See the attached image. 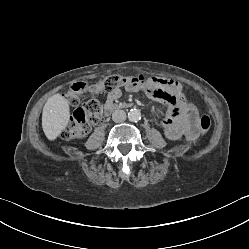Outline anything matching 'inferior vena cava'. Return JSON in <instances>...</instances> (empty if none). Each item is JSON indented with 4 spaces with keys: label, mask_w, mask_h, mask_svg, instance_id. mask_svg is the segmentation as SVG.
Masks as SVG:
<instances>
[{
    "label": "inferior vena cava",
    "mask_w": 249,
    "mask_h": 249,
    "mask_svg": "<svg viewBox=\"0 0 249 249\" xmlns=\"http://www.w3.org/2000/svg\"><path fill=\"white\" fill-rule=\"evenodd\" d=\"M112 120L114 122H123L126 120V113L124 110L117 109L112 114Z\"/></svg>",
    "instance_id": "602c4592"
}]
</instances>
